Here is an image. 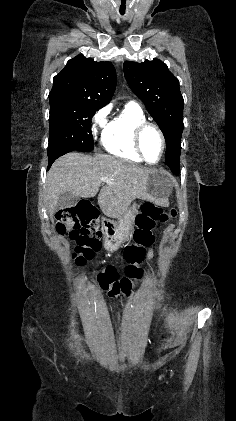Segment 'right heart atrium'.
I'll return each instance as SVG.
<instances>
[{
    "label": "right heart atrium",
    "instance_id": "obj_1",
    "mask_svg": "<svg viewBox=\"0 0 236 421\" xmlns=\"http://www.w3.org/2000/svg\"><path fill=\"white\" fill-rule=\"evenodd\" d=\"M107 113L106 109H102L94 115L92 120V134L94 137L97 135L99 128L103 126Z\"/></svg>",
    "mask_w": 236,
    "mask_h": 421
}]
</instances>
